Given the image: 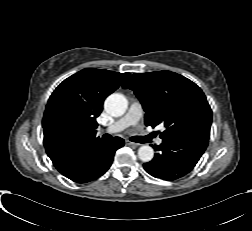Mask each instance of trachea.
<instances>
[{
	"mask_svg": "<svg viewBox=\"0 0 252 231\" xmlns=\"http://www.w3.org/2000/svg\"><path fill=\"white\" fill-rule=\"evenodd\" d=\"M103 139L104 140H110L111 139V135L105 134V135H103ZM130 141L137 142V143H145V142L148 141V137L133 136V137L130 138Z\"/></svg>",
	"mask_w": 252,
	"mask_h": 231,
	"instance_id": "trachea-1",
	"label": "trachea"
}]
</instances>
